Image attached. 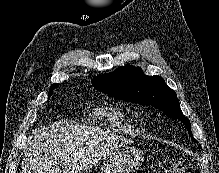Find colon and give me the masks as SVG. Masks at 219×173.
I'll use <instances>...</instances> for the list:
<instances>
[{"mask_svg": "<svg viewBox=\"0 0 219 173\" xmlns=\"http://www.w3.org/2000/svg\"><path fill=\"white\" fill-rule=\"evenodd\" d=\"M153 173H186V168L180 159H166L154 166Z\"/></svg>", "mask_w": 219, "mask_h": 173, "instance_id": "obj_1", "label": "colon"}]
</instances>
